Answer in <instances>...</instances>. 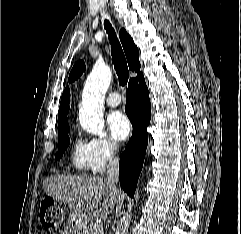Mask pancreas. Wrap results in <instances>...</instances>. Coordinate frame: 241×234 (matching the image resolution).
I'll use <instances>...</instances> for the list:
<instances>
[{
  "label": "pancreas",
  "instance_id": "obj_1",
  "mask_svg": "<svg viewBox=\"0 0 241 234\" xmlns=\"http://www.w3.org/2000/svg\"><path fill=\"white\" fill-rule=\"evenodd\" d=\"M93 226H94V224L91 223L88 226L84 227L82 229L81 234H102L101 230H93Z\"/></svg>",
  "mask_w": 241,
  "mask_h": 234
}]
</instances>
